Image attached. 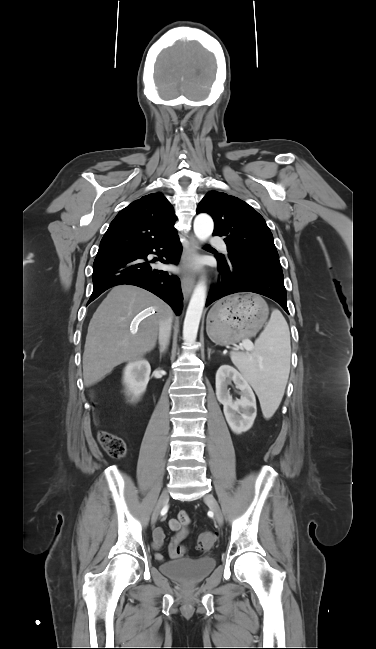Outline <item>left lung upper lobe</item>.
<instances>
[{
    "label": "left lung upper lobe",
    "instance_id": "obj_1",
    "mask_svg": "<svg viewBox=\"0 0 376 649\" xmlns=\"http://www.w3.org/2000/svg\"><path fill=\"white\" fill-rule=\"evenodd\" d=\"M208 213L214 220L215 236H224L234 255L268 263L282 269L273 236L263 217L246 202L226 193L210 191L197 207V213Z\"/></svg>",
    "mask_w": 376,
    "mask_h": 649
}]
</instances>
